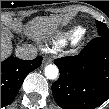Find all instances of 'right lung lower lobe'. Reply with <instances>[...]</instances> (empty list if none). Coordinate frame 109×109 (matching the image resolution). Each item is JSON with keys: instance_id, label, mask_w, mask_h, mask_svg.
<instances>
[{"instance_id": "98d812e1", "label": "right lung lower lobe", "mask_w": 109, "mask_h": 109, "mask_svg": "<svg viewBox=\"0 0 109 109\" xmlns=\"http://www.w3.org/2000/svg\"><path fill=\"white\" fill-rule=\"evenodd\" d=\"M41 63V56L30 61L9 57L1 62V107L7 106L13 101L24 78Z\"/></svg>"}]
</instances>
